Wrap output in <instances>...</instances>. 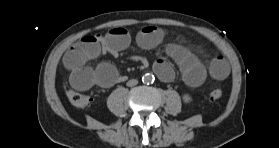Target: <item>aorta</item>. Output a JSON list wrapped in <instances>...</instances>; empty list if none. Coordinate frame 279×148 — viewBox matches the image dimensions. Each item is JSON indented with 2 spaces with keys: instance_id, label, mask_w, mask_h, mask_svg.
Listing matches in <instances>:
<instances>
[{
  "instance_id": "1",
  "label": "aorta",
  "mask_w": 279,
  "mask_h": 148,
  "mask_svg": "<svg viewBox=\"0 0 279 148\" xmlns=\"http://www.w3.org/2000/svg\"><path fill=\"white\" fill-rule=\"evenodd\" d=\"M142 81L145 84H150L154 81V76L152 74L147 73L142 77Z\"/></svg>"
}]
</instances>
